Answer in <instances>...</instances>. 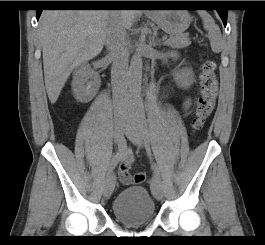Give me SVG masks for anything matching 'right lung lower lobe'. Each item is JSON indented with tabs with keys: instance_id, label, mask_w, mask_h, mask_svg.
<instances>
[{
	"instance_id": "1",
	"label": "right lung lower lobe",
	"mask_w": 265,
	"mask_h": 245,
	"mask_svg": "<svg viewBox=\"0 0 265 245\" xmlns=\"http://www.w3.org/2000/svg\"><path fill=\"white\" fill-rule=\"evenodd\" d=\"M123 1H80V3H52L50 6H61V7H72V6H79V7H120L124 6ZM36 17L37 20L39 19L42 9L36 10Z\"/></svg>"
}]
</instances>
